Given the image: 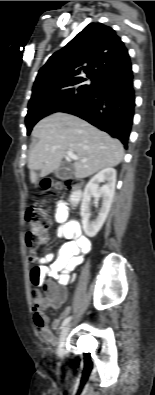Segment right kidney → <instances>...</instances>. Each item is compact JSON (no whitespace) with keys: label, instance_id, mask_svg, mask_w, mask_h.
Here are the masks:
<instances>
[{"label":"right kidney","instance_id":"obj_1","mask_svg":"<svg viewBox=\"0 0 155 395\" xmlns=\"http://www.w3.org/2000/svg\"><path fill=\"white\" fill-rule=\"evenodd\" d=\"M106 182L105 185L99 187V184ZM116 184V170L113 168H105L91 178L84 189L83 199L81 203L82 225L85 234L94 237L103 226L107 215L110 211L114 198ZM91 197H102V206L94 221H90V201Z\"/></svg>","mask_w":155,"mask_h":395}]
</instances>
